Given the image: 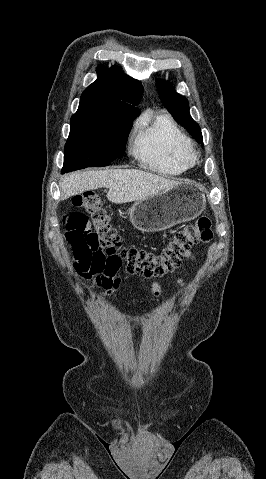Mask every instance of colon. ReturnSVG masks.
Instances as JSON below:
<instances>
[{
    "label": "colon",
    "mask_w": 266,
    "mask_h": 479,
    "mask_svg": "<svg viewBox=\"0 0 266 479\" xmlns=\"http://www.w3.org/2000/svg\"><path fill=\"white\" fill-rule=\"evenodd\" d=\"M72 206L75 210L63 224L73 253V269L105 294L119 287L121 270L146 278L165 276L180 265L193 246L213 239L211 220L200 217L177 230L161 252L128 247L122 244L110 214L95 192L74 196Z\"/></svg>",
    "instance_id": "obj_1"
}]
</instances>
